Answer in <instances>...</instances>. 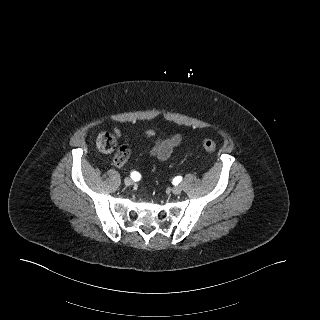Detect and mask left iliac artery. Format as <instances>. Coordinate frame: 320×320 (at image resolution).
<instances>
[{"mask_svg": "<svg viewBox=\"0 0 320 320\" xmlns=\"http://www.w3.org/2000/svg\"><path fill=\"white\" fill-rule=\"evenodd\" d=\"M175 183H179L180 181H182V176H177L174 179Z\"/></svg>", "mask_w": 320, "mask_h": 320, "instance_id": "obj_1", "label": "left iliac artery"}]
</instances>
